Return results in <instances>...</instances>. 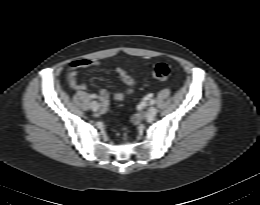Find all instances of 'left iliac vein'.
Instances as JSON below:
<instances>
[{"instance_id": "1", "label": "left iliac vein", "mask_w": 260, "mask_h": 205, "mask_svg": "<svg viewBox=\"0 0 260 205\" xmlns=\"http://www.w3.org/2000/svg\"><path fill=\"white\" fill-rule=\"evenodd\" d=\"M157 109L154 106H151L146 112L148 118H154L156 116Z\"/></svg>"}]
</instances>
